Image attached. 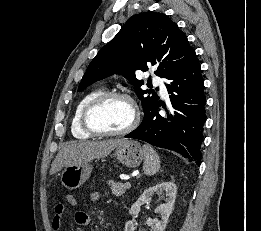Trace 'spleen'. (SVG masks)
I'll return each instance as SVG.
<instances>
[{"label":"spleen","instance_id":"3e777b00","mask_svg":"<svg viewBox=\"0 0 261 231\" xmlns=\"http://www.w3.org/2000/svg\"><path fill=\"white\" fill-rule=\"evenodd\" d=\"M143 151L145 156L143 170L145 174L149 176L156 174L160 169V158L157 152L148 145L143 146Z\"/></svg>","mask_w":261,"mask_h":231}]
</instances>
